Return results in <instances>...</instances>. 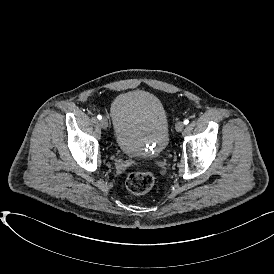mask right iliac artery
Wrapping results in <instances>:
<instances>
[{
    "label": "right iliac artery",
    "instance_id": "right-iliac-artery-1",
    "mask_svg": "<svg viewBox=\"0 0 274 274\" xmlns=\"http://www.w3.org/2000/svg\"><path fill=\"white\" fill-rule=\"evenodd\" d=\"M97 118H98L99 120H101V119H102V116H101V115H97Z\"/></svg>",
    "mask_w": 274,
    "mask_h": 274
}]
</instances>
